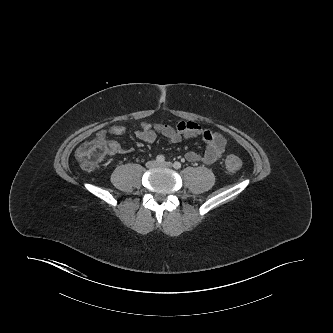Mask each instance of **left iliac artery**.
Wrapping results in <instances>:
<instances>
[{
    "label": "left iliac artery",
    "mask_w": 333,
    "mask_h": 333,
    "mask_svg": "<svg viewBox=\"0 0 333 333\" xmlns=\"http://www.w3.org/2000/svg\"><path fill=\"white\" fill-rule=\"evenodd\" d=\"M173 167H174L175 169H180V168H181V163L178 162V161H176V162H174Z\"/></svg>",
    "instance_id": "44dca946"
}]
</instances>
